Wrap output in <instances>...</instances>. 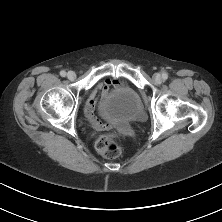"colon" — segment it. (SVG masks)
<instances>
[{
    "instance_id": "1",
    "label": "colon",
    "mask_w": 222,
    "mask_h": 222,
    "mask_svg": "<svg viewBox=\"0 0 222 222\" xmlns=\"http://www.w3.org/2000/svg\"><path fill=\"white\" fill-rule=\"evenodd\" d=\"M119 138L120 136L118 134L103 135L96 142V148L103 156L107 158H116L122 152Z\"/></svg>"
}]
</instances>
